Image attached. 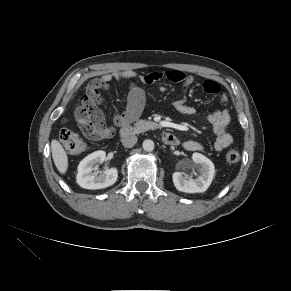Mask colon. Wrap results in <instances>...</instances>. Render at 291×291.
Returning a JSON list of instances; mask_svg holds the SVG:
<instances>
[{
	"label": "colon",
	"instance_id": "5ec220e1",
	"mask_svg": "<svg viewBox=\"0 0 291 291\" xmlns=\"http://www.w3.org/2000/svg\"><path fill=\"white\" fill-rule=\"evenodd\" d=\"M100 103L101 96L98 88L88 89L82 97L81 106L77 109L75 117L84 133H90L100 121ZM59 137L64 148L71 154H79L86 149V143L71 124H66L61 129ZM239 159V152L235 149H231L225 154V160L229 164H235Z\"/></svg>",
	"mask_w": 291,
	"mask_h": 291
}]
</instances>
